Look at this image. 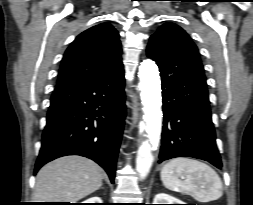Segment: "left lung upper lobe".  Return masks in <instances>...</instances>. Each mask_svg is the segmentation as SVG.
I'll return each mask as SVG.
<instances>
[{
	"instance_id": "left-lung-upper-lobe-1",
	"label": "left lung upper lobe",
	"mask_w": 253,
	"mask_h": 205,
	"mask_svg": "<svg viewBox=\"0 0 253 205\" xmlns=\"http://www.w3.org/2000/svg\"><path fill=\"white\" fill-rule=\"evenodd\" d=\"M151 38H157L170 46L184 50L201 62L196 45L192 42L188 34L178 25L165 23L151 36Z\"/></svg>"
}]
</instances>
